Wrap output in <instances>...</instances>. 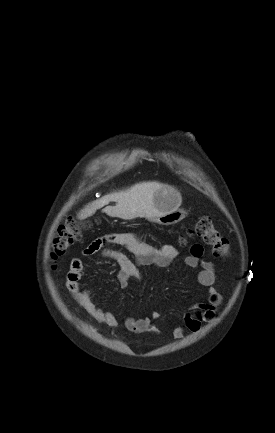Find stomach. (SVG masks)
Masks as SVG:
<instances>
[{
  "instance_id": "1",
  "label": "stomach",
  "mask_w": 275,
  "mask_h": 433,
  "mask_svg": "<svg viewBox=\"0 0 275 433\" xmlns=\"http://www.w3.org/2000/svg\"><path fill=\"white\" fill-rule=\"evenodd\" d=\"M153 202L158 215L152 220L160 225H173L186 216V212L179 209L180 193L174 188L164 185L154 193Z\"/></svg>"
}]
</instances>
